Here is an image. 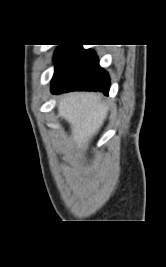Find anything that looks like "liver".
Masks as SVG:
<instances>
[{"label": "liver", "mask_w": 166, "mask_h": 267, "mask_svg": "<svg viewBox=\"0 0 166 267\" xmlns=\"http://www.w3.org/2000/svg\"><path fill=\"white\" fill-rule=\"evenodd\" d=\"M58 112L70 124L72 144L82 156L107 118V107L97 94L73 92L60 98Z\"/></svg>", "instance_id": "1"}]
</instances>
